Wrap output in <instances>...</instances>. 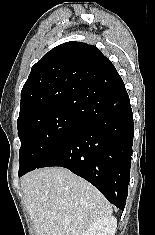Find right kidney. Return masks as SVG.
Instances as JSON below:
<instances>
[{
  "label": "right kidney",
  "mask_w": 155,
  "mask_h": 235,
  "mask_svg": "<svg viewBox=\"0 0 155 235\" xmlns=\"http://www.w3.org/2000/svg\"><path fill=\"white\" fill-rule=\"evenodd\" d=\"M116 227V218L107 216L90 224L81 235H115Z\"/></svg>",
  "instance_id": "right-kidney-1"
}]
</instances>
